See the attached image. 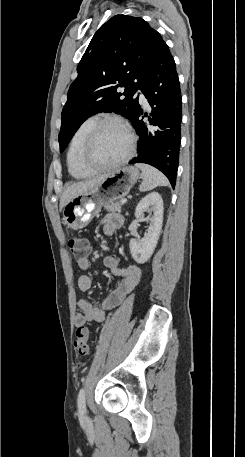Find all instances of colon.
Returning a JSON list of instances; mask_svg holds the SVG:
<instances>
[{
	"mask_svg": "<svg viewBox=\"0 0 245 457\" xmlns=\"http://www.w3.org/2000/svg\"><path fill=\"white\" fill-rule=\"evenodd\" d=\"M68 248L71 254L77 259H86L90 254L89 243L81 238L71 236L68 240ZM90 331L88 327H78L74 335V347L80 356H85L89 352Z\"/></svg>",
	"mask_w": 245,
	"mask_h": 457,
	"instance_id": "colon-1",
	"label": "colon"
}]
</instances>
